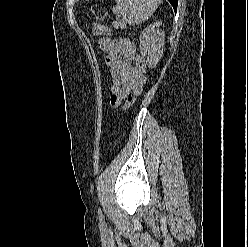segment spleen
<instances>
[{
  "label": "spleen",
  "mask_w": 248,
  "mask_h": 247,
  "mask_svg": "<svg viewBox=\"0 0 248 247\" xmlns=\"http://www.w3.org/2000/svg\"><path fill=\"white\" fill-rule=\"evenodd\" d=\"M117 6L112 10L121 14L123 20L130 25H139L148 20L161 0H115Z\"/></svg>",
  "instance_id": "3e777b00"
}]
</instances>
